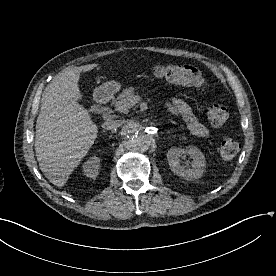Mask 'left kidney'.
I'll return each mask as SVG.
<instances>
[{"label": "left kidney", "mask_w": 276, "mask_h": 276, "mask_svg": "<svg viewBox=\"0 0 276 276\" xmlns=\"http://www.w3.org/2000/svg\"><path fill=\"white\" fill-rule=\"evenodd\" d=\"M186 154L192 158L191 168L180 164V158ZM167 159L171 170L186 180L201 178L206 165L204 155L195 146H189L186 149L172 147L167 153Z\"/></svg>", "instance_id": "left-kidney-1"}]
</instances>
